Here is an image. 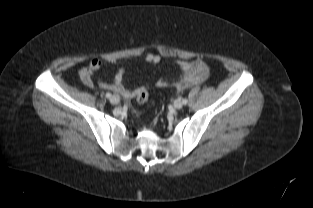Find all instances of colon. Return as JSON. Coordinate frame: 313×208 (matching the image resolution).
Here are the masks:
<instances>
[{"mask_svg":"<svg viewBox=\"0 0 313 208\" xmlns=\"http://www.w3.org/2000/svg\"><path fill=\"white\" fill-rule=\"evenodd\" d=\"M148 96H149V94H148L147 90L142 89V90L139 91V93L137 94L136 99H137L138 103L144 104V103L147 102Z\"/></svg>","mask_w":313,"mask_h":208,"instance_id":"obj_1","label":"colon"}]
</instances>
